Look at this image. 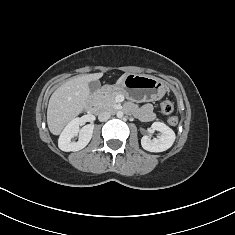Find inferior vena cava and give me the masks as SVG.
<instances>
[{"label":"inferior vena cava","instance_id":"1","mask_svg":"<svg viewBox=\"0 0 235 235\" xmlns=\"http://www.w3.org/2000/svg\"><path fill=\"white\" fill-rule=\"evenodd\" d=\"M110 116H111V113L109 111L103 110L99 113L98 119L99 121L103 122V121L108 120Z\"/></svg>","mask_w":235,"mask_h":235}]
</instances>
